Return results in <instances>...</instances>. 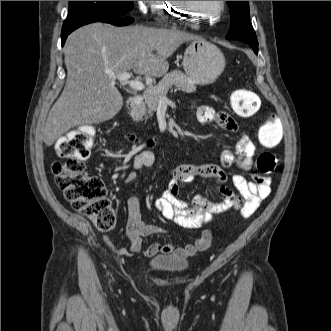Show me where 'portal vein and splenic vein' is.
<instances>
[{
    "label": "portal vein and splenic vein",
    "instance_id": "portal-vein-and-splenic-vein-1",
    "mask_svg": "<svg viewBox=\"0 0 331 331\" xmlns=\"http://www.w3.org/2000/svg\"><path fill=\"white\" fill-rule=\"evenodd\" d=\"M113 81L118 80L122 83L128 84L132 89L137 91H142L145 89V85L138 79L130 80L132 77V73L124 72L118 75L112 74L110 75ZM163 98V97H160Z\"/></svg>",
    "mask_w": 331,
    "mask_h": 331
}]
</instances>
